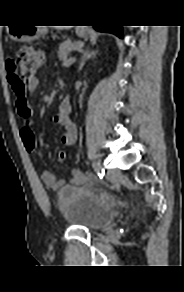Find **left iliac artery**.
<instances>
[{
    "label": "left iliac artery",
    "mask_w": 184,
    "mask_h": 292,
    "mask_svg": "<svg viewBox=\"0 0 184 292\" xmlns=\"http://www.w3.org/2000/svg\"><path fill=\"white\" fill-rule=\"evenodd\" d=\"M92 166H93L95 172L97 173V175L99 176V178L102 179L104 174H105V170L101 166V164L99 162H93Z\"/></svg>",
    "instance_id": "1"
}]
</instances>
